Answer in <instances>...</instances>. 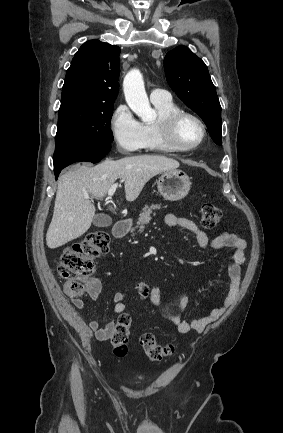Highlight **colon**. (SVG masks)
<instances>
[{
    "label": "colon",
    "instance_id": "1",
    "mask_svg": "<svg viewBox=\"0 0 283 433\" xmlns=\"http://www.w3.org/2000/svg\"><path fill=\"white\" fill-rule=\"evenodd\" d=\"M222 220V212L213 203L205 202L200 207V221L205 229L212 230ZM110 238L105 231L90 233L83 241L67 247L61 254L58 273L66 280L65 292L70 298H78L88 290L85 279L94 271V261L108 251ZM132 319L128 313H121L117 319L110 340L116 356L127 353ZM145 355L151 361H161L171 355V344L161 345L156 337L146 332L140 337Z\"/></svg>",
    "mask_w": 283,
    "mask_h": 433
}]
</instances>
